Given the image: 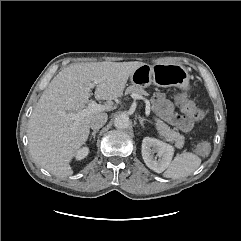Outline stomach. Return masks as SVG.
I'll return each instance as SVG.
<instances>
[{
	"label": "stomach",
	"instance_id": "0dacf381",
	"mask_svg": "<svg viewBox=\"0 0 241 241\" xmlns=\"http://www.w3.org/2000/svg\"><path fill=\"white\" fill-rule=\"evenodd\" d=\"M130 81L133 85L142 88H146L153 83L160 87L176 86L187 91L189 89L190 75L182 64H144L132 73Z\"/></svg>",
	"mask_w": 241,
	"mask_h": 241
}]
</instances>
